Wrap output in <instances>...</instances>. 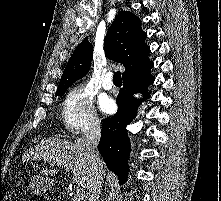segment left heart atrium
Returning <instances> with one entry per match:
<instances>
[{"instance_id": "39dd6f15", "label": "left heart atrium", "mask_w": 221, "mask_h": 201, "mask_svg": "<svg viewBox=\"0 0 221 201\" xmlns=\"http://www.w3.org/2000/svg\"><path fill=\"white\" fill-rule=\"evenodd\" d=\"M100 109L105 113H110L114 109V102L108 97H102L99 101Z\"/></svg>"}]
</instances>
